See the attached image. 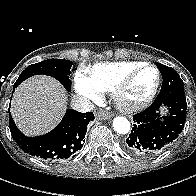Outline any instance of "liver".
Returning a JSON list of instances; mask_svg holds the SVG:
<instances>
[{
  "instance_id": "1",
  "label": "liver",
  "mask_w": 196,
  "mask_h": 196,
  "mask_svg": "<svg viewBox=\"0 0 196 196\" xmlns=\"http://www.w3.org/2000/svg\"><path fill=\"white\" fill-rule=\"evenodd\" d=\"M67 108V93L54 78L33 76L15 90L11 115L26 135L35 136L53 129Z\"/></svg>"
}]
</instances>
